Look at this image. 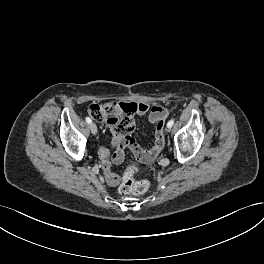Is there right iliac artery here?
<instances>
[{"mask_svg": "<svg viewBox=\"0 0 264 264\" xmlns=\"http://www.w3.org/2000/svg\"><path fill=\"white\" fill-rule=\"evenodd\" d=\"M86 122H87L88 124H91V123H92V120H91L89 117H86Z\"/></svg>", "mask_w": 264, "mask_h": 264, "instance_id": "right-iliac-artery-1", "label": "right iliac artery"}]
</instances>
